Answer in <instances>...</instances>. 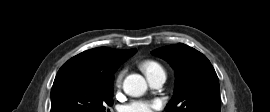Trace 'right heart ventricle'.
Here are the masks:
<instances>
[{"label": "right heart ventricle", "instance_id": "right-heart-ventricle-1", "mask_svg": "<svg viewBox=\"0 0 270 112\" xmlns=\"http://www.w3.org/2000/svg\"><path fill=\"white\" fill-rule=\"evenodd\" d=\"M141 67L144 70L146 76L164 71L163 67L158 62L153 60L143 62Z\"/></svg>", "mask_w": 270, "mask_h": 112}]
</instances>
